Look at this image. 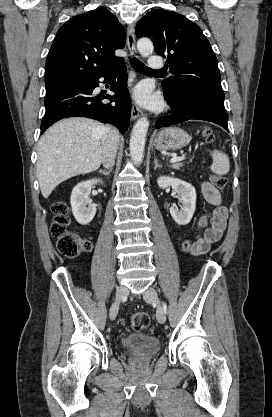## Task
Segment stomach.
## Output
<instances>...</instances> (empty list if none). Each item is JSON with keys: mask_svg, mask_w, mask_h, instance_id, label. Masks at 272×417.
I'll return each mask as SVG.
<instances>
[{"mask_svg": "<svg viewBox=\"0 0 272 417\" xmlns=\"http://www.w3.org/2000/svg\"><path fill=\"white\" fill-rule=\"evenodd\" d=\"M190 142L186 131L178 127H168L161 130L154 138L153 145L158 150H179Z\"/></svg>", "mask_w": 272, "mask_h": 417, "instance_id": "stomach-1", "label": "stomach"}]
</instances>
